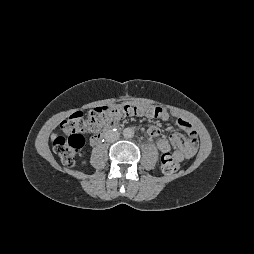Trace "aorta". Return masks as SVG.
<instances>
[{"mask_svg":"<svg viewBox=\"0 0 254 254\" xmlns=\"http://www.w3.org/2000/svg\"><path fill=\"white\" fill-rule=\"evenodd\" d=\"M124 138L130 139L134 137V130L132 128H125L123 130Z\"/></svg>","mask_w":254,"mask_h":254,"instance_id":"obj_1","label":"aorta"}]
</instances>
